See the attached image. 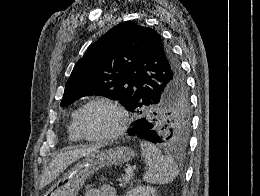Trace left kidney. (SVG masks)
I'll return each mask as SVG.
<instances>
[{"label":"left kidney","instance_id":"5707ae66","mask_svg":"<svg viewBox=\"0 0 260 196\" xmlns=\"http://www.w3.org/2000/svg\"><path fill=\"white\" fill-rule=\"evenodd\" d=\"M125 196H158V194L152 186H136L126 192Z\"/></svg>","mask_w":260,"mask_h":196}]
</instances>
